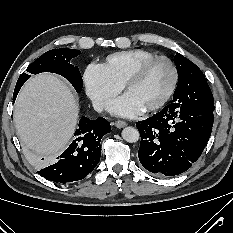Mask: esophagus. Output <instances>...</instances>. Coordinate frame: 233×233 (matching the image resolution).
<instances>
[{"label":"esophagus","instance_id":"obj_1","mask_svg":"<svg viewBox=\"0 0 233 233\" xmlns=\"http://www.w3.org/2000/svg\"><path fill=\"white\" fill-rule=\"evenodd\" d=\"M126 125H127V123H126L125 121L118 120V121L115 122V126H116L117 128H123V127H125Z\"/></svg>","mask_w":233,"mask_h":233}]
</instances>
